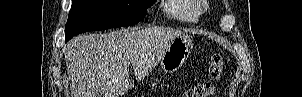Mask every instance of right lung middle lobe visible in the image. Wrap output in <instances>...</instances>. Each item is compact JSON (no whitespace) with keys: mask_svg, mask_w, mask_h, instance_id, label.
<instances>
[{"mask_svg":"<svg viewBox=\"0 0 302 97\" xmlns=\"http://www.w3.org/2000/svg\"><path fill=\"white\" fill-rule=\"evenodd\" d=\"M155 0H72L65 40L92 30L138 24Z\"/></svg>","mask_w":302,"mask_h":97,"instance_id":"dd1d6c3e","label":"right lung middle lobe"}]
</instances>
